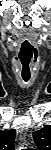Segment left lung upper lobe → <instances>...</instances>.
<instances>
[{
  "label": "left lung upper lobe",
  "instance_id": "5c2ea615",
  "mask_svg": "<svg viewBox=\"0 0 51 150\" xmlns=\"http://www.w3.org/2000/svg\"><path fill=\"white\" fill-rule=\"evenodd\" d=\"M33 138L39 150H46L51 147V126H45L38 132L33 133Z\"/></svg>",
  "mask_w": 51,
  "mask_h": 150
}]
</instances>
